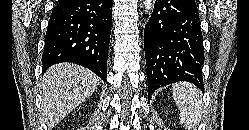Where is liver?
I'll use <instances>...</instances> for the list:
<instances>
[{
    "instance_id": "6515ba94",
    "label": "liver",
    "mask_w": 249,
    "mask_h": 130,
    "mask_svg": "<svg viewBox=\"0 0 249 130\" xmlns=\"http://www.w3.org/2000/svg\"><path fill=\"white\" fill-rule=\"evenodd\" d=\"M100 78L90 70L71 63L51 66L43 76L42 119L49 128L89 98Z\"/></svg>"
}]
</instances>
